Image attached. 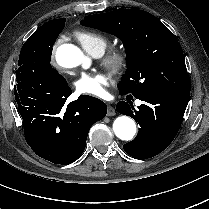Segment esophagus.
<instances>
[{"label":"esophagus","instance_id":"obj_1","mask_svg":"<svg viewBox=\"0 0 209 209\" xmlns=\"http://www.w3.org/2000/svg\"><path fill=\"white\" fill-rule=\"evenodd\" d=\"M116 114V110L110 104H108L107 115L114 116Z\"/></svg>","mask_w":209,"mask_h":209}]
</instances>
